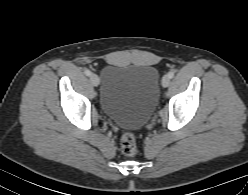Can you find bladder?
Listing matches in <instances>:
<instances>
[{
  "mask_svg": "<svg viewBox=\"0 0 248 195\" xmlns=\"http://www.w3.org/2000/svg\"><path fill=\"white\" fill-rule=\"evenodd\" d=\"M159 82L154 66H107L102 73L100 105L118 126L140 128L157 105Z\"/></svg>",
  "mask_w": 248,
  "mask_h": 195,
  "instance_id": "1",
  "label": "bladder"
}]
</instances>
